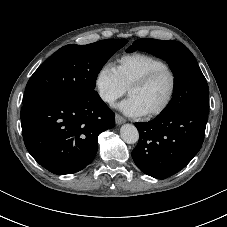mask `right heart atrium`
Here are the masks:
<instances>
[{
    "instance_id": "right-heart-atrium-1",
    "label": "right heart atrium",
    "mask_w": 227,
    "mask_h": 227,
    "mask_svg": "<svg viewBox=\"0 0 227 227\" xmlns=\"http://www.w3.org/2000/svg\"><path fill=\"white\" fill-rule=\"evenodd\" d=\"M94 86L100 100L107 105H113L127 90L110 65H103L98 69Z\"/></svg>"
}]
</instances>
